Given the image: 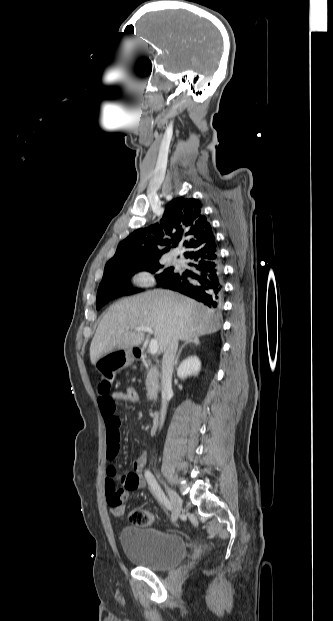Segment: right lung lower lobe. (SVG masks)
<instances>
[{"instance_id": "98d812e1", "label": "right lung lower lobe", "mask_w": 333, "mask_h": 621, "mask_svg": "<svg viewBox=\"0 0 333 621\" xmlns=\"http://www.w3.org/2000/svg\"><path fill=\"white\" fill-rule=\"evenodd\" d=\"M184 256L191 261L189 265L193 270L174 272L161 285L219 309L223 297V268L217 245Z\"/></svg>"}]
</instances>
